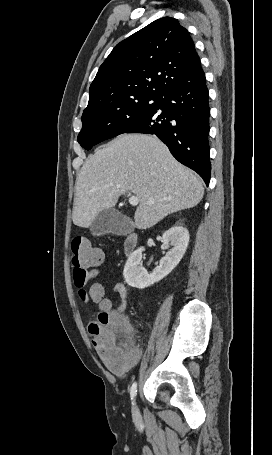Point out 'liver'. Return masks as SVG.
I'll return each instance as SVG.
<instances>
[{"label": "liver", "instance_id": "obj_1", "mask_svg": "<svg viewBox=\"0 0 272 455\" xmlns=\"http://www.w3.org/2000/svg\"><path fill=\"white\" fill-rule=\"evenodd\" d=\"M128 191L139 200L134 215L138 229L195 207L204 195L200 179L157 137L123 134L96 150L78 172L73 223L91 226L102 210L114 207Z\"/></svg>", "mask_w": 272, "mask_h": 455}]
</instances>
